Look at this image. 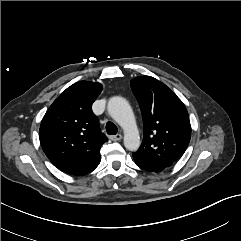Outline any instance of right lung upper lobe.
<instances>
[{"label":"right lung upper lobe","mask_w":241,"mask_h":241,"mask_svg":"<svg viewBox=\"0 0 241 241\" xmlns=\"http://www.w3.org/2000/svg\"><path fill=\"white\" fill-rule=\"evenodd\" d=\"M101 91L100 83L79 81L52 103L42 119L43 151L65 173L84 175L100 163V147L107 137L100 132L92 104Z\"/></svg>","instance_id":"right-lung-upper-lobe-1"}]
</instances>
